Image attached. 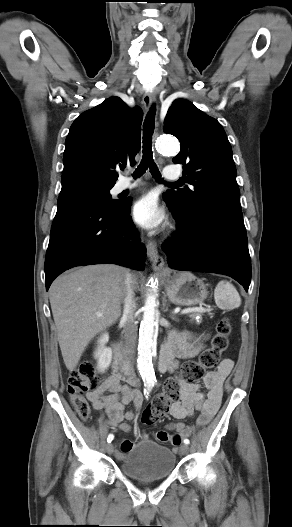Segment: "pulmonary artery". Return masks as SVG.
<instances>
[{"mask_svg": "<svg viewBox=\"0 0 292 527\" xmlns=\"http://www.w3.org/2000/svg\"><path fill=\"white\" fill-rule=\"evenodd\" d=\"M163 176L167 180H177L179 171L175 166H166L163 170ZM138 186V182H132L127 178L120 180L117 184L118 191L130 190Z\"/></svg>", "mask_w": 292, "mask_h": 527, "instance_id": "1", "label": "pulmonary artery"}]
</instances>
